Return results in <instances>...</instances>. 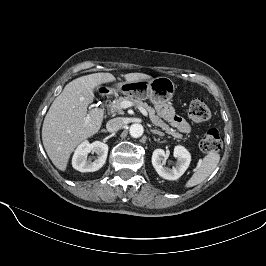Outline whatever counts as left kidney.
Masks as SVG:
<instances>
[{
	"label": "left kidney",
	"mask_w": 266,
	"mask_h": 266,
	"mask_svg": "<svg viewBox=\"0 0 266 266\" xmlns=\"http://www.w3.org/2000/svg\"><path fill=\"white\" fill-rule=\"evenodd\" d=\"M173 155L177 159V163L175 167L170 169L164 166L163 160L167 155L163 149H156L152 154L153 167L159 176L167 180H177L181 177L189 167L191 161L190 153L181 145L174 148Z\"/></svg>",
	"instance_id": "obj_1"
}]
</instances>
